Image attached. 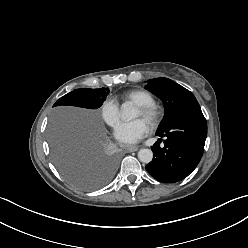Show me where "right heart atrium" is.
<instances>
[{
	"label": "right heart atrium",
	"instance_id": "obj_1",
	"mask_svg": "<svg viewBox=\"0 0 248 248\" xmlns=\"http://www.w3.org/2000/svg\"><path fill=\"white\" fill-rule=\"evenodd\" d=\"M102 120L110 127H115L120 118L119 105L114 99L107 98L99 108Z\"/></svg>",
	"mask_w": 248,
	"mask_h": 248
}]
</instances>
